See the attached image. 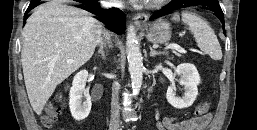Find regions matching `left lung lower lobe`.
I'll return each instance as SVG.
<instances>
[{
  "mask_svg": "<svg viewBox=\"0 0 257 130\" xmlns=\"http://www.w3.org/2000/svg\"><path fill=\"white\" fill-rule=\"evenodd\" d=\"M191 5H202L205 9L214 12L224 25V14L221 10L218 0H176L171 1L164 8L153 13L149 20L157 19L159 17L168 15L175 10L188 7ZM225 30V28H223Z\"/></svg>",
  "mask_w": 257,
  "mask_h": 130,
  "instance_id": "left-lung-lower-lobe-1",
  "label": "left lung lower lobe"
}]
</instances>
